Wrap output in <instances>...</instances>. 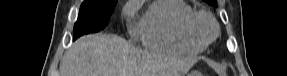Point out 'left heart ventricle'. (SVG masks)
Here are the masks:
<instances>
[{
    "mask_svg": "<svg viewBox=\"0 0 287 76\" xmlns=\"http://www.w3.org/2000/svg\"><path fill=\"white\" fill-rule=\"evenodd\" d=\"M200 32L206 37L212 33L210 25L205 20H202L200 23Z\"/></svg>",
    "mask_w": 287,
    "mask_h": 76,
    "instance_id": "b2bd125f",
    "label": "left heart ventricle"
}]
</instances>
